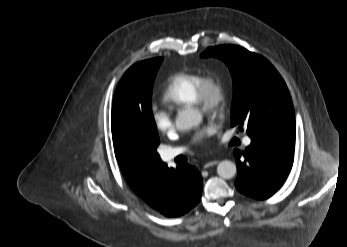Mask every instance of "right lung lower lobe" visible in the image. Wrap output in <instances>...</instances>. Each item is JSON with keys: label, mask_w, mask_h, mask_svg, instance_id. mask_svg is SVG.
Masks as SVG:
<instances>
[{"label": "right lung lower lobe", "mask_w": 347, "mask_h": 247, "mask_svg": "<svg viewBox=\"0 0 347 247\" xmlns=\"http://www.w3.org/2000/svg\"><path fill=\"white\" fill-rule=\"evenodd\" d=\"M163 193L155 202L147 203L167 217H178L194 208L201 199L202 177L189 164L166 168L162 181Z\"/></svg>", "instance_id": "right-lung-lower-lobe-1"}]
</instances>
